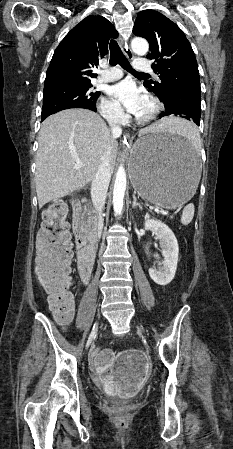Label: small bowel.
Segmentation results:
<instances>
[{
	"label": "small bowel",
	"mask_w": 233,
	"mask_h": 449,
	"mask_svg": "<svg viewBox=\"0 0 233 449\" xmlns=\"http://www.w3.org/2000/svg\"><path fill=\"white\" fill-rule=\"evenodd\" d=\"M79 279L87 284L92 279L90 272H81ZM72 314L60 318L61 324H66ZM92 365L96 377L103 378L105 390L117 394L119 399H132L136 390L142 389L143 377L148 376L150 355L141 354L140 347H125L124 354H117L114 363V353L109 349H94L91 352Z\"/></svg>",
	"instance_id": "small-bowel-1"
}]
</instances>
